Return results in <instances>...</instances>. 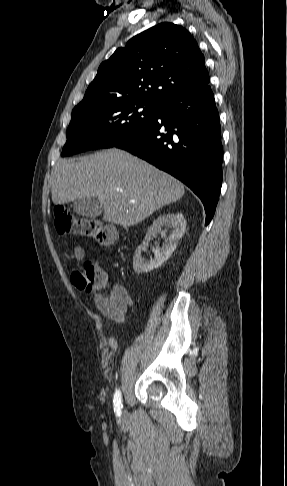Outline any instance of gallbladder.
I'll return each instance as SVG.
<instances>
[{"instance_id":"obj_1","label":"gallbladder","mask_w":287,"mask_h":486,"mask_svg":"<svg viewBox=\"0 0 287 486\" xmlns=\"http://www.w3.org/2000/svg\"><path fill=\"white\" fill-rule=\"evenodd\" d=\"M71 207L77 215L88 218H95L103 212L101 203L94 197L76 199L73 201Z\"/></svg>"}]
</instances>
